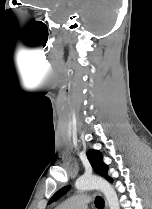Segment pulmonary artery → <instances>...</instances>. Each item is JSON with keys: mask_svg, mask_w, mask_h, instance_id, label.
<instances>
[{"mask_svg": "<svg viewBox=\"0 0 152 209\" xmlns=\"http://www.w3.org/2000/svg\"><path fill=\"white\" fill-rule=\"evenodd\" d=\"M91 198L86 194H79L69 198L58 209H87Z\"/></svg>", "mask_w": 152, "mask_h": 209, "instance_id": "obj_1", "label": "pulmonary artery"}]
</instances>
